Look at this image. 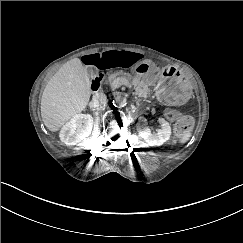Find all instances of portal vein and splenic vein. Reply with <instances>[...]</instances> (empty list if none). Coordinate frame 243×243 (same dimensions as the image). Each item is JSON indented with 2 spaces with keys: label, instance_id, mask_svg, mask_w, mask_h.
I'll return each instance as SVG.
<instances>
[{
  "label": "portal vein and splenic vein",
  "instance_id": "1",
  "mask_svg": "<svg viewBox=\"0 0 243 243\" xmlns=\"http://www.w3.org/2000/svg\"><path fill=\"white\" fill-rule=\"evenodd\" d=\"M121 84H125L127 88H132L131 82L124 77L117 78L111 86L113 89H116L117 87H120Z\"/></svg>",
  "mask_w": 243,
  "mask_h": 243
}]
</instances>
